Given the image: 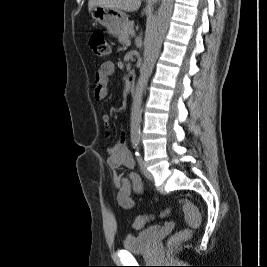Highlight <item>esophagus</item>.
Returning <instances> with one entry per match:
<instances>
[{"label":"esophagus","mask_w":267,"mask_h":267,"mask_svg":"<svg viewBox=\"0 0 267 267\" xmlns=\"http://www.w3.org/2000/svg\"><path fill=\"white\" fill-rule=\"evenodd\" d=\"M148 1H158V0H148Z\"/></svg>","instance_id":"1"}]
</instances>
